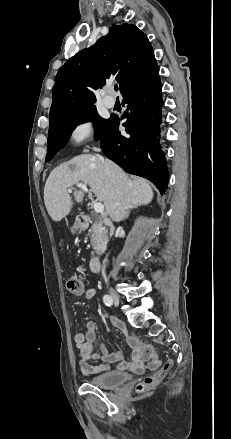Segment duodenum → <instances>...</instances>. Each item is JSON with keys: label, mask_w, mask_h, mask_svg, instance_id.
<instances>
[{"label": "duodenum", "mask_w": 231, "mask_h": 439, "mask_svg": "<svg viewBox=\"0 0 231 439\" xmlns=\"http://www.w3.org/2000/svg\"><path fill=\"white\" fill-rule=\"evenodd\" d=\"M92 219L88 215H80L78 217V224L82 228H87L92 224ZM103 254V250L99 251L97 254H95L89 262V266L91 271L93 272H99L101 269V255Z\"/></svg>", "instance_id": "obj_1"}]
</instances>
